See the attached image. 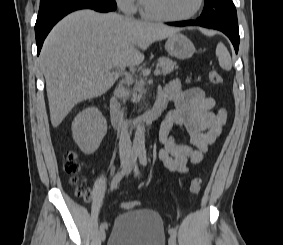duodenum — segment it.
I'll return each mask as SVG.
<instances>
[{"label":"duodenum","instance_id":"410a0bca","mask_svg":"<svg viewBox=\"0 0 283 245\" xmlns=\"http://www.w3.org/2000/svg\"><path fill=\"white\" fill-rule=\"evenodd\" d=\"M168 99L165 95L159 94L154 106L146 111L143 115L132 119L126 120L121 112L120 104L116 94H113L110 98V115L113 126L116 129H124L127 127H135L143 124L153 123L165 110Z\"/></svg>","mask_w":283,"mask_h":245}]
</instances>
